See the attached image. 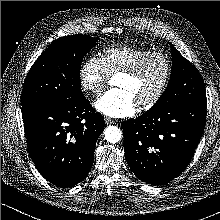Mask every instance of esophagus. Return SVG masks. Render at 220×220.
<instances>
[{
  "label": "esophagus",
  "mask_w": 220,
  "mask_h": 220,
  "mask_svg": "<svg viewBox=\"0 0 220 220\" xmlns=\"http://www.w3.org/2000/svg\"><path fill=\"white\" fill-rule=\"evenodd\" d=\"M104 121L105 123L108 125V124H112V123H115V120L109 118V117H104Z\"/></svg>",
  "instance_id": "34e87169"
}]
</instances>
